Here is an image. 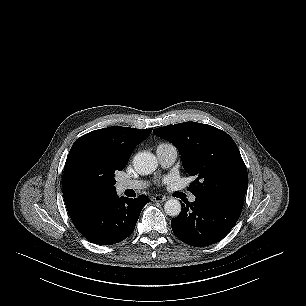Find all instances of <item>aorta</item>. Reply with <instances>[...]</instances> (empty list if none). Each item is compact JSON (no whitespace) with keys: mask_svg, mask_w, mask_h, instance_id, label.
I'll list each match as a JSON object with an SVG mask.
<instances>
[{"mask_svg":"<svg viewBox=\"0 0 306 306\" xmlns=\"http://www.w3.org/2000/svg\"><path fill=\"white\" fill-rule=\"evenodd\" d=\"M133 166L140 175H148L157 168L156 157L149 152H140L133 159ZM165 213L169 216L176 217L181 212V203L177 199H169L164 204Z\"/></svg>","mask_w":306,"mask_h":306,"instance_id":"obj_1","label":"aorta"}]
</instances>
